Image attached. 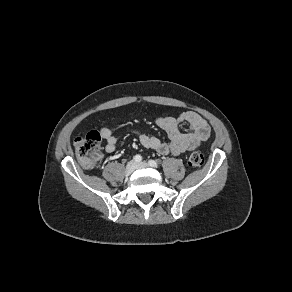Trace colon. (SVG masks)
I'll return each instance as SVG.
<instances>
[{
	"instance_id": "obj_1",
	"label": "colon",
	"mask_w": 292,
	"mask_h": 292,
	"mask_svg": "<svg viewBox=\"0 0 292 292\" xmlns=\"http://www.w3.org/2000/svg\"><path fill=\"white\" fill-rule=\"evenodd\" d=\"M102 136L98 131H90L75 140V151L85 167H93L101 157ZM204 156L200 150L193 151L188 158L189 167L196 169L203 165Z\"/></svg>"
}]
</instances>
